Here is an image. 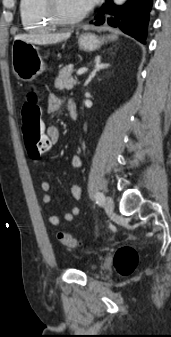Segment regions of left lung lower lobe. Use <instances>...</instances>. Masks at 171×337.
Segmentation results:
<instances>
[{
    "label": "left lung lower lobe",
    "mask_w": 171,
    "mask_h": 337,
    "mask_svg": "<svg viewBox=\"0 0 171 337\" xmlns=\"http://www.w3.org/2000/svg\"><path fill=\"white\" fill-rule=\"evenodd\" d=\"M151 6L152 0H129L122 7H116L112 0H106L104 7L95 16L96 22L94 24H103L105 21L103 15L107 13L110 15L107 19L110 26L117 27L124 33L145 43Z\"/></svg>",
    "instance_id": "obj_1"
}]
</instances>
